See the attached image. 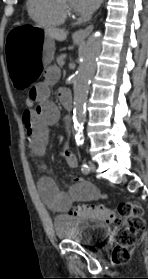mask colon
<instances>
[{
    "label": "colon",
    "mask_w": 148,
    "mask_h": 279,
    "mask_svg": "<svg viewBox=\"0 0 148 279\" xmlns=\"http://www.w3.org/2000/svg\"><path fill=\"white\" fill-rule=\"evenodd\" d=\"M34 102V98L28 94L25 98L26 107H32ZM70 214L122 224L115 234L116 246L112 252V260L117 264L128 260L133 245L142 237L146 228L143 207L134 202H121L116 210L104 206L78 205L70 210Z\"/></svg>",
    "instance_id": "colon-1"
}]
</instances>
